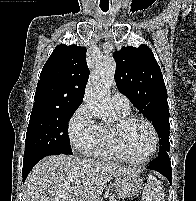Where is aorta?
Here are the masks:
<instances>
[{
  "mask_svg": "<svg viewBox=\"0 0 196 201\" xmlns=\"http://www.w3.org/2000/svg\"><path fill=\"white\" fill-rule=\"evenodd\" d=\"M116 63L112 57H106L96 64L88 81L84 100L93 115L102 121L114 116L110 104V88L114 82Z\"/></svg>",
  "mask_w": 196,
  "mask_h": 201,
  "instance_id": "1",
  "label": "aorta"
}]
</instances>
